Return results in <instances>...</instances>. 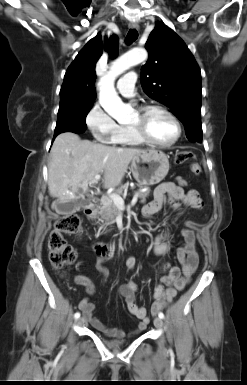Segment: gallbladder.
<instances>
[{"label":"gallbladder","instance_id":"gallbladder-1","mask_svg":"<svg viewBox=\"0 0 247 385\" xmlns=\"http://www.w3.org/2000/svg\"><path fill=\"white\" fill-rule=\"evenodd\" d=\"M89 204L88 200L85 199H77L72 200L67 203H56V212L58 214H73L77 211H80V209L85 208Z\"/></svg>","mask_w":247,"mask_h":385}]
</instances>
